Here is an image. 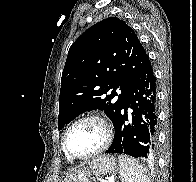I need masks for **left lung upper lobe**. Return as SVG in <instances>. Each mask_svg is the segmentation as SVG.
I'll list each match as a JSON object with an SVG mask.
<instances>
[{"mask_svg": "<svg viewBox=\"0 0 196 182\" xmlns=\"http://www.w3.org/2000/svg\"><path fill=\"white\" fill-rule=\"evenodd\" d=\"M148 63L137 35L123 20L110 17L86 30L70 47L63 69L58 130L95 109L103 110L114 125Z\"/></svg>", "mask_w": 196, "mask_h": 182, "instance_id": "5c2ea615", "label": "left lung upper lobe"}]
</instances>
